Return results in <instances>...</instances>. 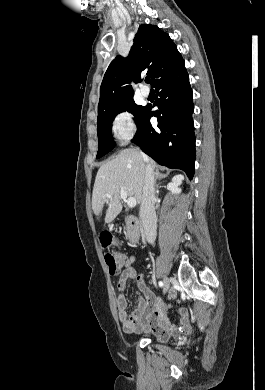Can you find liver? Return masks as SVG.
<instances>
[{
	"instance_id": "liver-1",
	"label": "liver",
	"mask_w": 265,
	"mask_h": 390,
	"mask_svg": "<svg viewBox=\"0 0 265 390\" xmlns=\"http://www.w3.org/2000/svg\"><path fill=\"white\" fill-rule=\"evenodd\" d=\"M152 168L156 167L149 159ZM146 162L142 153L135 148H127L111 161L100 166L92 194V209L96 216L102 212L104 204L108 205L105 222H112L122 210L120 191L124 188L127 195L140 203L145 179ZM111 194V198L106 195Z\"/></svg>"
}]
</instances>
